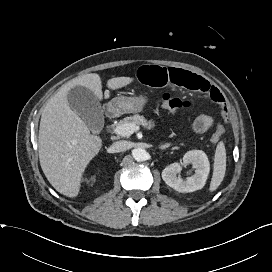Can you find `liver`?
Listing matches in <instances>:
<instances>
[{
  "label": "liver",
  "instance_id": "obj_1",
  "mask_svg": "<svg viewBox=\"0 0 272 272\" xmlns=\"http://www.w3.org/2000/svg\"><path fill=\"white\" fill-rule=\"evenodd\" d=\"M130 77H116L107 87L116 90L133 82ZM80 85L90 89L98 99L103 98L101 78L91 73L63 85L46 104L39 127V160L41 168L56 191L76 197L82 175L89 162L99 153L102 139L92 135L87 124L69 106L67 94ZM109 98V91L105 92Z\"/></svg>",
  "mask_w": 272,
  "mask_h": 272
}]
</instances>
